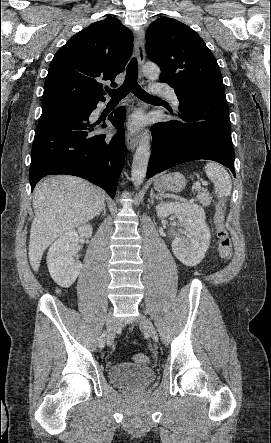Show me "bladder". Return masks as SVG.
<instances>
[{"label": "bladder", "instance_id": "obj_1", "mask_svg": "<svg viewBox=\"0 0 271 443\" xmlns=\"http://www.w3.org/2000/svg\"><path fill=\"white\" fill-rule=\"evenodd\" d=\"M108 376L114 385L121 388L141 389L151 384L156 374L148 366L120 362L109 368Z\"/></svg>", "mask_w": 271, "mask_h": 443}]
</instances>
